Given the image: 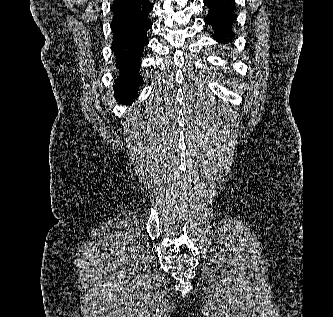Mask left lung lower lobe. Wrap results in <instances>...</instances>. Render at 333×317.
<instances>
[{
	"label": "left lung lower lobe",
	"mask_w": 333,
	"mask_h": 317,
	"mask_svg": "<svg viewBox=\"0 0 333 317\" xmlns=\"http://www.w3.org/2000/svg\"><path fill=\"white\" fill-rule=\"evenodd\" d=\"M204 4L208 7L205 23L212 26L214 40L224 45L232 42L236 19L234 0H204Z\"/></svg>",
	"instance_id": "left-lung-lower-lobe-1"
}]
</instances>
